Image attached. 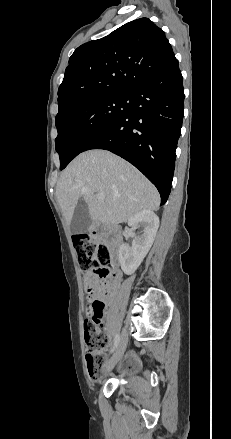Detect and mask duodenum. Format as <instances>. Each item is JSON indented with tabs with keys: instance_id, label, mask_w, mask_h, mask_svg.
<instances>
[{
	"instance_id": "1",
	"label": "duodenum",
	"mask_w": 231,
	"mask_h": 439,
	"mask_svg": "<svg viewBox=\"0 0 231 439\" xmlns=\"http://www.w3.org/2000/svg\"><path fill=\"white\" fill-rule=\"evenodd\" d=\"M93 229H94L95 231H97V232H102V231H103L102 228L97 227V226H96V227H93ZM109 233L112 234V235H119L120 230H119V228H117V227H113V228H110V229H109Z\"/></svg>"
}]
</instances>
